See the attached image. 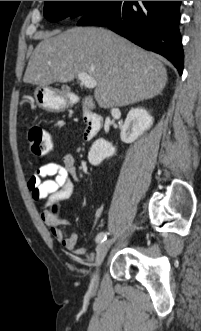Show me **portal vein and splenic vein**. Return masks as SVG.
Here are the masks:
<instances>
[{"mask_svg":"<svg viewBox=\"0 0 201 331\" xmlns=\"http://www.w3.org/2000/svg\"><path fill=\"white\" fill-rule=\"evenodd\" d=\"M78 79L86 88H95L97 86V81L92 78L89 74L82 72L78 73Z\"/></svg>","mask_w":201,"mask_h":331,"instance_id":"obj_1","label":"portal vein and splenic vein"}]
</instances>
